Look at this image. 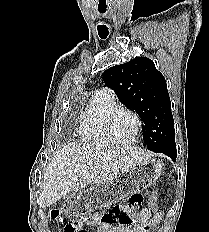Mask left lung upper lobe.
I'll return each mask as SVG.
<instances>
[{
    "mask_svg": "<svg viewBox=\"0 0 209 232\" xmlns=\"http://www.w3.org/2000/svg\"><path fill=\"white\" fill-rule=\"evenodd\" d=\"M103 79L119 101L143 120L147 148L168 155V149L175 144L174 120L166 80L153 61L137 57L105 70Z\"/></svg>",
    "mask_w": 209,
    "mask_h": 232,
    "instance_id": "obj_1",
    "label": "left lung upper lobe"
}]
</instances>
